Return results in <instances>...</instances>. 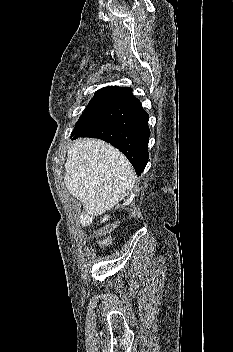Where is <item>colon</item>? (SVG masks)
<instances>
[{
	"mask_svg": "<svg viewBox=\"0 0 233 352\" xmlns=\"http://www.w3.org/2000/svg\"><path fill=\"white\" fill-rule=\"evenodd\" d=\"M107 243H108V241H107L106 239L101 240V241L99 242V246H100V247H104L105 245H107Z\"/></svg>",
	"mask_w": 233,
	"mask_h": 352,
	"instance_id": "obj_1",
	"label": "colon"
}]
</instances>
